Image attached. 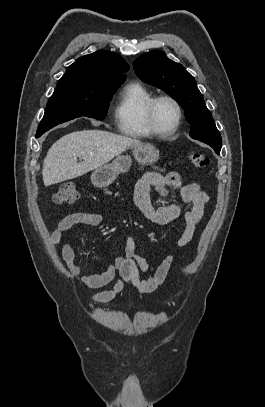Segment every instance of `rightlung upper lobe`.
Wrapping results in <instances>:
<instances>
[{
    "instance_id": "cb5924a9",
    "label": "right lung upper lobe",
    "mask_w": 265,
    "mask_h": 407,
    "mask_svg": "<svg viewBox=\"0 0 265 407\" xmlns=\"http://www.w3.org/2000/svg\"><path fill=\"white\" fill-rule=\"evenodd\" d=\"M129 68V65L118 54L99 50L78 58L67 68L62 79L122 84L126 79L122 73L128 71Z\"/></svg>"
}]
</instances>
